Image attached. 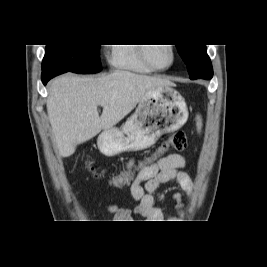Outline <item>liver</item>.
I'll list each match as a JSON object with an SVG mask.
<instances>
[{
    "label": "liver",
    "instance_id": "6515ba94",
    "mask_svg": "<svg viewBox=\"0 0 267 267\" xmlns=\"http://www.w3.org/2000/svg\"><path fill=\"white\" fill-rule=\"evenodd\" d=\"M173 85L167 79L129 71H115L99 78L66 74L54 79L47 112L60 155H72L78 144L101 130L113 128L148 91ZM98 106L103 107L101 116Z\"/></svg>",
    "mask_w": 267,
    "mask_h": 267
}]
</instances>
